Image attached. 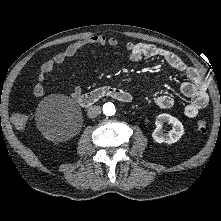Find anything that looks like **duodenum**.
<instances>
[{"label": "duodenum", "instance_id": "1", "mask_svg": "<svg viewBox=\"0 0 221 221\" xmlns=\"http://www.w3.org/2000/svg\"><path fill=\"white\" fill-rule=\"evenodd\" d=\"M105 97L121 103H130L132 101V96L129 92L117 87L104 86L80 95L78 102L83 107H89Z\"/></svg>", "mask_w": 221, "mask_h": 221}]
</instances>
